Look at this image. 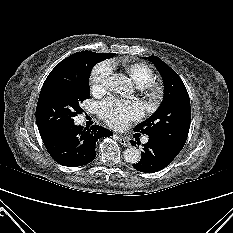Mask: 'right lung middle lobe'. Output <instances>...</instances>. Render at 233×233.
<instances>
[{"label":"right lung middle lobe","instance_id":"dd1d6c3e","mask_svg":"<svg viewBox=\"0 0 233 233\" xmlns=\"http://www.w3.org/2000/svg\"><path fill=\"white\" fill-rule=\"evenodd\" d=\"M66 64L56 65L46 78L38 99L36 122L41 137L67 131L74 117L82 113L80 104L90 98L92 68L115 54L81 51Z\"/></svg>","mask_w":233,"mask_h":233}]
</instances>
